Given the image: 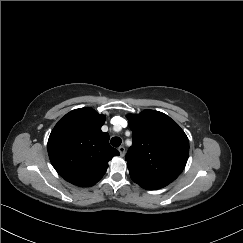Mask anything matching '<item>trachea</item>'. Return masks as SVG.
<instances>
[{"label": "trachea", "mask_w": 243, "mask_h": 243, "mask_svg": "<svg viewBox=\"0 0 243 243\" xmlns=\"http://www.w3.org/2000/svg\"><path fill=\"white\" fill-rule=\"evenodd\" d=\"M110 142L113 147H118L122 143V140L119 137H113Z\"/></svg>", "instance_id": "1"}]
</instances>
